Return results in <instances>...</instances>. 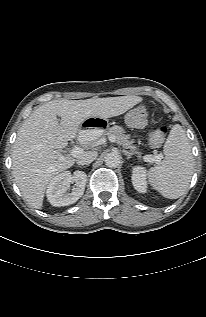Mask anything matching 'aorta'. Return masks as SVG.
<instances>
[{
  "mask_svg": "<svg viewBox=\"0 0 206 317\" xmlns=\"http://www.w3.org/2000/svg\"><path fill=\"white\" fill-rule=\"evenodd\" d=\"M104 161H105V164L107 167L116 168L119 166V164L121 162V157L118 153L111 152L105 156Z\"/></svg>",
  "mask_w": 206,
  "mask_h": 317,
  "instance_id": "762f6f07",
  "label": "aorta"
}]
</instances>
